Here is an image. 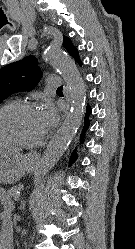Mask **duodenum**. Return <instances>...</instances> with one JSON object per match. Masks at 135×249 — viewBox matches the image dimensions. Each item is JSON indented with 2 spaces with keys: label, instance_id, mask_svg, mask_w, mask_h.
Instances as JSON below:
<instances>
[{
  "label": "duodenum",
  "instance_id": "410a0bca",
  "mask_svg": "<svg viewBox=\"0 0 135 249\" xmlns=\"http://www.w3.org/2000/svg\"><path fill=\"white\" fill-rule=\"evenodd\" d=\"M12 245H13V237L12 235L7 234L2 238L0 249H12Z\"/></svg>",
  "mask_w": 135,
  "mask_h": 249
}]
</instances>
